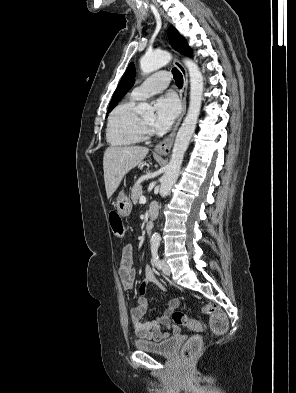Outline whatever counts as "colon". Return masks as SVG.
I'll list each match as a JSON object with an SVG mask.
<instances>
[{
    "label": "colon",
    "mask_w": 296,
    "mask_h": 393,
    "mask_svg": "<svg viewBox=\"0 0 296 393\" xmlns=\"http://www.w3.org/2000/svg\"><path fill=\"white\" fill-rule=\"evenodd\" d=\"M110 226L113 234L116 237H123L125 234V228L120 216L111 211L109 214ZM202 313L210 316V328L216 335L224 334L228 329V319L226 314L216 305L207 304L202 308ZM171 320L176 325L186 326L194 331L201 332L205 329V326L190 318L187 314L181 311H174L171 314ZM203 347L202 338L196 335L190 338L182 347L181 356L186 363L193 360L201 351Z\"/></svg>",
    "instance_id": "colon-1"
}]
</instances>
